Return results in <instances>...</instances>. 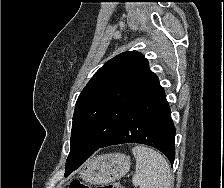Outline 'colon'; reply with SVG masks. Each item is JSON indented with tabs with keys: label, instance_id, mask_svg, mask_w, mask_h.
<instances>
[{
	"label": "colon",
	"instance_id": "obj_1",
	"mask_svg": "<svg viewBox=\"0 0 224 188\" xmlns=\"http://www.w3.org/2000/svg\"><path fill=\"white\" fill-rule=\"evenodd\" d=\"M69 188H90L86 183L80 180H73ZM96 188H124L120 183H107Z\"/></svg>",
	"mask_w": 224,
	"mask_h": 188
}]
</instances>
